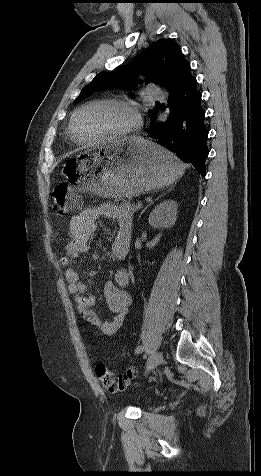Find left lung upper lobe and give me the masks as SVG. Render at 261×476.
Masks as SVG:
<instances>
[{
	"mask_svg": "<svg viewBox=\"0 0 261 476\" xmlns=\"http://www.w3.org/2000/svg\"><path fill=\"white\" fill-rule=\"evenodd\" d=\"M190 66L178 44L170 39L158 40L143 52L136 55L132 61L114 71H102L84 86L75 101L86 98L90 93L109 88H133L137 84L135 77L143 74L146 83H162L172 89L182 73ZM151 121L156 115L150 111Z\"/></svg>",
	"mask_w": 261,
	"mask_h": 476,
	"instance_id": "obj_1",
	"label": "left lung upper lobe"
}]
</instances>
